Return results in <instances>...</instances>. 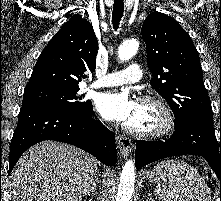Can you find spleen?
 Masks as SVG:
<instances>
[{"label": "spleen", "instance_id": "spleen-1", "mask_svg": "<svg viewBox=\"0 0 221 201\" xmlns=\"http://www.w3.org/2000/svg\"><path fill=\"white\" fill-rule=\"evenodd\" d=\"M169 179V187L160 185L154 194L161 201H211L210 188L201 174L191 165L178 159H167L155 166Z\"/></svg>", "mask_w": 221, "mask_h": 201}]
</instances>
